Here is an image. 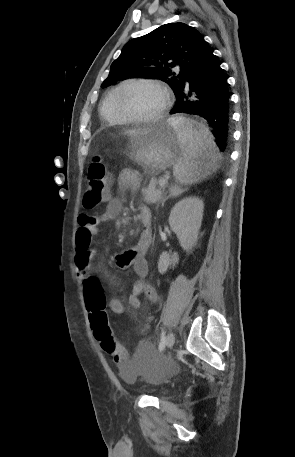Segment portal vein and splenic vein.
Instances as JSON below:
<instances>
[{
  "instance_id": "1",
  "label": "portal vein and splenic vein",
  "mask_w": 295,
  "mask_h": 457,
  "mask_svg": "<svg viewBox=\"0 0 295 457\" xmlns=\"http://www.w3.org/2000/svg\"><path fill=\"white\" fill-rule=\"evenodd\" d=\"M168 183V180L166 178H162L159 180V185L161 187H164Z\"/></svg>"
}]
</instances>
